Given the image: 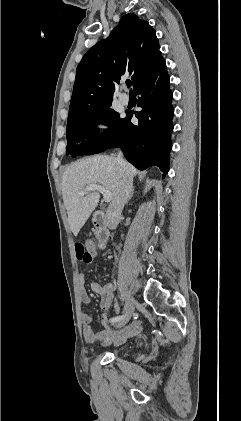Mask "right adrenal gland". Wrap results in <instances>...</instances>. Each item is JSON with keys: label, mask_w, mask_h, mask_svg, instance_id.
<instances>
[{"label": "right adrenal gland", "mask_w": 241, "mask_h": 421, "mask_svg": "<svg viewBox=\"0 0 241 421\" xmlns=\"http://www.w3.org/2000/svg\"><path fill=\"white\" fill-rule=\"evenodd\" d=\"M133 194H134V187H132V189H131V192H130V195H129L127 201H126V204L131 200V198L133 197Z\"/></svg>", "instance_id": "2a0ac1e0"}]
</instances>
